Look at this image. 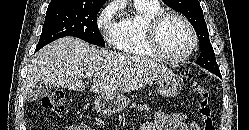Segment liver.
I'll return each mask as SVG.
<instances>
[{
  "instance_id": "obj_1",
  "label": "liver",
  "mask_w": 249,
  "mask_h": 130,
  "mask_svg": "<svg viewBox=\"0 0 249 130\" xmlns=\"http://www.w3.org/2000/svg\"><path fill=\"white\" fill-rule=\"evenodd\" d=\"M169 73L170 69L149 58L116 53L65 37L48 44L32 58L24 99L37 81L84 91L83 79H89L93 80L91 92L111 96L140 89Z\"/></svg>"
}]
</instances>
